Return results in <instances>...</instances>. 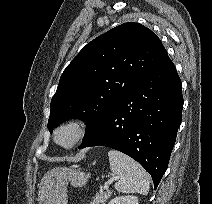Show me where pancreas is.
I'll return each instance as SVG.
<instances>
[{
	"instance_id": "obj_1",
	"label": "pancreas",
	"mask_w": 212,
	"mask_h": 204,
	"mask_svg": "<svg viewBox=\"0 0 212 204\" xmlns=\"http://www.w3.org/2000/svg\"><path fill=\"white\" fill-rule=\"evenodd\" d=\"M112 191L107 190L105 192L101 191L100 193H96L93 197V200L90 204H105V201L111 196Z\"/></svg>"
}]
</instances>
